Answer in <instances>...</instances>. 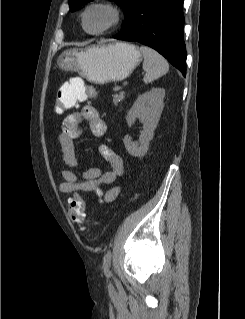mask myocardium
I'll list each match as a JSON object with an SVG mask.
<instances>
[{
	"instance_id": "obj_1",
	"label": "myocardium",
	"mask_w": 245,
	"mask_h": 319,
	"mask_svg": "<svg viewBox=\"0 0 245 319\" xmlns=\"http://www.w3.org/2000/svg\"><path fill=\"white\" fill-rule=\"evenodd\" d=\"M95 9H104L108 11L110 13L111 18L109 23L106 26L102 27L101 29L91 31L86 26V19H87V15L92 10H95ZM121 18H122V12L117 5L107 1L91 2L83 10L82 19H81L82 28L86 33L90 35H102L114 29L120 23Z\"/></svg>"
}]
</instances>
